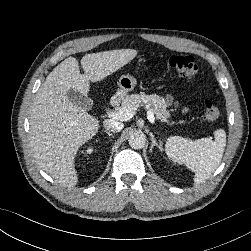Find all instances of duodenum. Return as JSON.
Masks as SVG:
<instances>
[{
    "label": "duodenum",
    "mask_w": 251,
    "mask_h": 251,
    "mask_svg": "<svg viewBox=\"0 0 251 251\" xmlns=\"http://www.w3.org/2000/svg\"><path fill=\"white\" fill-rule=\"evenodd\" d=\"M120 98L118 96H113L112 99L110 100L109 104L110 106H115L118 104Z\"/></svg>",
    "instance_id": "obj_1"
}]
</instances>
